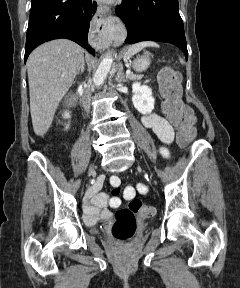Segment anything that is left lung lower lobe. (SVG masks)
<instances>
[{
    "label": "left lung lower lobe",
    "mask_w": 240,
    "mask_h": 288,
    "mask_svg": "<svg viewBox=\"0 0 240 288\" xmlns=\"http://www.w3.org/2000/svg\"><path fill=\"white\" fill-rule=\"evenodd\" d=\"M116 13L127 28L126 43L167 42L179 47L188 58L178 0H124Z\"/></svg>",
    "instance_id": "left-lung-lower-lobe-1"
}]
</instances>
